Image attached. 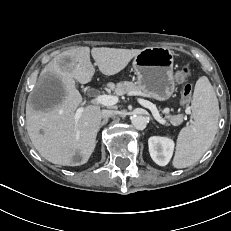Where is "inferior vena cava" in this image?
I'll use <instances>...</instances> for the list:
<instances>
[{"mask_svg": "<svg viewBox=\"0 0 231 231\" xmlns=\"http://www.w3.org/2000/svg\"><path fill=\"white\" fill-rule=\"evenodd\" d=\"M116 114H117V112L114 110H102V112H101V116L104 119H108V118H110Z\"/></svg>", "mask_w": 231, "mask_h": 231, "instance_id": "inferior-vena-cava-1", "label": "inferior vena cava"}]
</instances>
